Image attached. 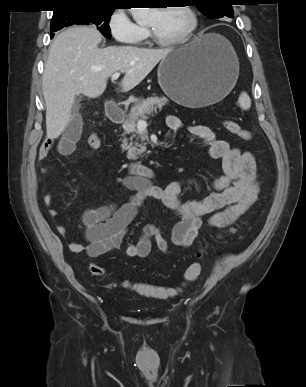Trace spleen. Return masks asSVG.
Here are the masks:
<instances>
[{
	"instance_id": "obj_1",
	"label": "spleen",
	"mask_w": 306,
	"mask_h": 387,
	"mask_svg": "<svg viewBox=\"0 0 306 387\" xmlns=\"http://www.w3.org/2000/svg\"><path fill=\"white\" fill-rule=\"evenodd\" d=\"M238 102L243 110H248L251 107V99L246 92L240 94Z\"/></svg>"
}]
</instances>
